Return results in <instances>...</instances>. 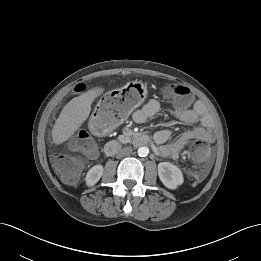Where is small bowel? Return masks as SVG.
Wrapping results in <instances>:
<instances>
[{"instance_id":"small-bowel-1","label":"small bowel","mask_w":261,"mask_h":261,"mask_svg":"<svg viewBox=\"0 0 261 261\" xmlns=\"http://www.w3.org/2000/svg\"><path fill=\"white\" fill-rule=\"evenodd\" d=\"M159 109V101L151 99L133 114V120L139 124L145 123L149 118L154 117ZM175 115L179 120L193 126L185 130L173 141H169L171 137L169 129H163L155 133L154 141L159 145L162 156L177 159L182 150L192 141H214L213 122L210 117L204 114V105L200 101H197L192 108L177 110ZM199 121L200 124L195 125Z\"/></svg>"}]
</instances>
